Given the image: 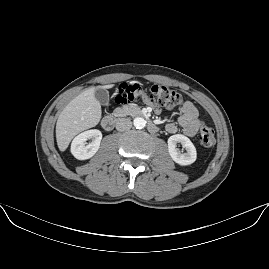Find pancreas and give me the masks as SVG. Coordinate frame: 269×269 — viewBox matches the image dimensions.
<instances>
[{"label":"pancreas","mask_w":269,"mask_h":269,"mask_svg":"<svg viewBox=\"0 0 269 269\" xmlns=\"http://www.w3.org/2000/svg\"><path fill=\"white\" fill-rule=\"evenodd\" d=\"M141 113L140 107L137 105H124L122 108H116L113 112V115L116 117H123L126 115L136 116Z\"/></svg>","instance_id":"1"}]
</instances>
